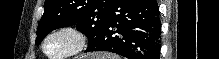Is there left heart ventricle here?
Here are the masks:
<instances>
[{
  "instance_id": "b2bd125f",
  "label": "left heart ventricle",
  "mask_w": 219,
  "mask_h": 59,
  "mask_svg": "<svg viewBox=\"0 0 219 59\" xmlns=\"http://www.w3.org/2000/svg\"><path fill=\"white\" fill-rule=\"evenodd\" d=\"M74 40L68 35H57L51 38L47 45L46 50L50 55L60 56L70 51L73 47Z\"/></svg>"
}]
</instances>
